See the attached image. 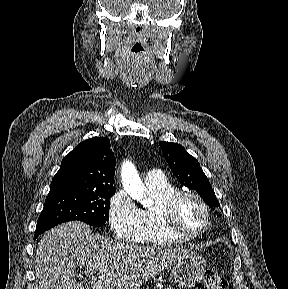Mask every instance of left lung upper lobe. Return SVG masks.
Returning <instances> with one entry per match:
<instances>
[{"label": "left lung upper lobe", "mask_w": 288, "mask_h": 289, "mask_svg": "<svg viewBox=\"0 0 288 289\" xmlns=\"http://www.w3.org/2000/svg\"><path fill=\"white\" fill-rule=\"evenodd\" d=\"M159 145L177 179L184 186L196 190L209 206L218 207L215 193L197 159L180 144L161 141Z\"/></svg>", "instance_id": "obj_1"}]
</instances>
